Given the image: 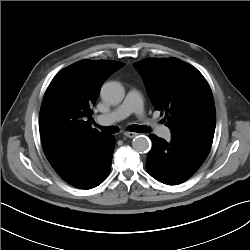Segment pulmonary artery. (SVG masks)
Listing matches in <instances>:
<instances>
[{
  "instance_id": "1",
  "label": "pulmonary artery",
  "mask_w": 250,
  "mask_h": 250,
  "mask_svg": "<svg viewBox=\"0 0 250 250\" xmlns=\"http://www.w3.org/2000/svg\"><path fill=\"white\" fill-rule=\"evenodd\" d=\"M132 113L136 114L146 125L154 129L159 137L164 139L170 138L171 130L167 126L158 125L145 117L141 93L137 89H130L121 105L108 113L98 115L96 121L101 125H110Z\"/></svg>"
}]
</instances>
